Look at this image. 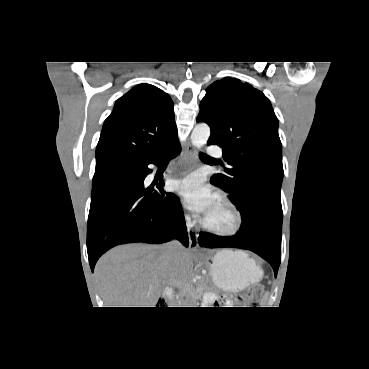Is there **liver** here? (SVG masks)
Here are the masks:
<instances>
[{"label":"liver","mask_w":369,"mask_h":369,"mask_svg":"<svg viewBox=\"0 0 369 369\" xmlns=\"http://www.w3.org/2000/svg\"><path fill=\"white\" fill-rule=\"evenodd\" d=\"M94 273L105 307H155L165 287L189 281L193 262L183 247L168 256L164 245L128 244L104 254Z\"/></svg>","instance_id":"1"}]
</instances>
